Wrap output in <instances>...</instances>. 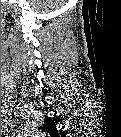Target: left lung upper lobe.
<instances>
[{"label":"left lung upper lobe","instance_id":"obj_1","mask_svg":"<svg viewBox=\"0 0 121 137\" xmlns=\"http://www.w3.org/2000/svg\"><path fill=\"white\" fill-rule=\"evenodd\" d=\"M41 129H43V130H45V131H47V132H49V133H53L54 131H56V129H55V123H54V121L51 119V118H49V117H46V122H45V124L43 125V126H41L40 127Z\"/></svg>","mask_w":121,"mask_h":137}]
</instances>
